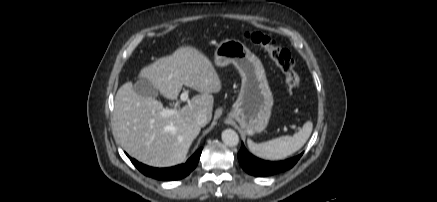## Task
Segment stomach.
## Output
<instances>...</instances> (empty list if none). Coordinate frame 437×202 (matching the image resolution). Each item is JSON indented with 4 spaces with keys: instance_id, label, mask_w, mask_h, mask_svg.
<instances>
[{
    "instance_id": "0dacf381",
    "label": "stomach",
    "mask_w": 437,
    "mask_h": 202,
    "mask_svg": "<svg viewBox=\"0 0 437 202\" xmlns=\"http://www.w3.org/2000/svg\"><path fill=\"white\" fill-rule=\"evenodd\" d=\"M214 61L220 67L232 63L242 78L240 93L229 116L248 135L263 132L268 126L274 99L260 59L242 42L229 39L217 46Z\"/></svg>"
}]
</instances>
